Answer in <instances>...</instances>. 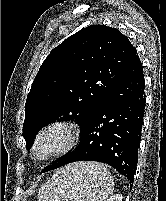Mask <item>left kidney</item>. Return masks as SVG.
Segmentation results:
<instances>
[{"instance_id": "5707ae66", "label": "left kidney", "mask_w": 166, "mask_h": 201, "mask_svg": "<svg viewBox=\"0 0 166 201\" xmlns=\"http://www.w3.org/2000/svg\"><path fill=\"white\" fill-rule=\"evenodd\" d=\"M106 201H122V195L121 194L114 195L109 199H107Z\"/></svg>"}]
</instances>
